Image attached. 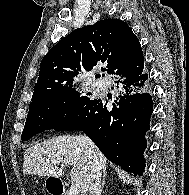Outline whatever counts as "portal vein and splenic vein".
<instances>
[{"label": "portal vein and splenic vein", "mask_w": 189, "mask_h": 195, "mask_svg": "<svg viewBox=\"0 0 189 195\" xmlns=\"http://www.w3.org/2000/svg\"><path fill=\"white\" fill-rule=\"evenodd\" d=\"M61 167H64L63 165H61ZM81 189L79 184L77 183H72L70 186V190L69 193L70 195H78L80 193Z\"/></svg>", "instance_id": "portal-vein-and-splenic-vein-1"}]
</instances>
